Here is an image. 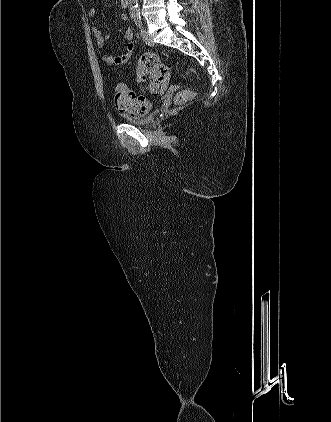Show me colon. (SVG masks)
Here are the masks:
<instances>
[{
	"mask_svg": "<svg viewBox=\"0 0 331 422\" xmlns=\"http://www.w3.org/2000/svg\"><path fill=\"white\" fill-rule=\"evenodd\" d=\"M136 74L141 82H148L147 89L153 95L164 92L169 81V67L161 62L159 57L152 53L141 56L136 65ZM195 97V93L184 91L176 97L177 104H183ZM115 104L120 111L133 116H143L150 110V103L142 94H137L129 89L125 83L120 82L115 89Z\"/></svg>",
	"mask_w": 331,
	"mask_h": 422,
	"instance_id": "5ec220e1",
	"label": "colon"
}]
</instances>
